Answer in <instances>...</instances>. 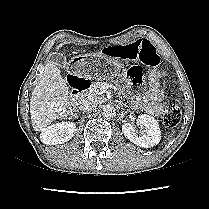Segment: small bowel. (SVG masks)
Instances as JSON below:
<instances>
[{"mask_svg":"<svg viewBox=\"0 0 209 209\" xmlns=\"http://www.w3.org/2000/svg\"><path fill=\"white\" fill-rule=\"evenodd\" d=\"M126 76L134 86H142L146 82V75L137 65H130L126 69ZM163 98L164 91L159 81L151 78L148 90L132 98V106L138 111L157 116L162 111Z\"/></svg>","mask_w":209,"mask_h":209,"instance_id":"obj_1","label":"small bowel"}]
</instances>
